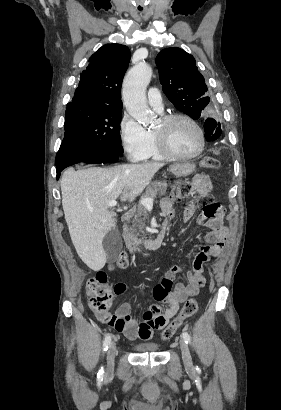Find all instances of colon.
Here are the masks:
<instances>
[{
    "label": "colon",
    "mask_w": 281,
    "mask_h": 410,
    "mask_svg": "<svg viewBox=\"0 0 281 410\" xmlns=\"http://www.w3.org/2000/svg\"><path fill=\"white\" fill-rule=\"evenodd\" d=\"M201 167L206 170H216L218 162L212 157H205L201 160ZM193 192V187L188 184H182L178 189V195H189ZM199 203L204 209V213L208 217H218L223 215V207L214 200L210 194L199 196ZM116 264L120 268H125L128 265V257L125 252L118 255ZM116 292V286L109 283L108 277L104 272H98L96 275L88 279L86 283V294L89 300L90 309L100 315L104 321H107L115 329L124 326L123 319L107 314L111 304L113 294ZM198 308V303L195 299H189L181 309L176 318L172 320L169 326L162 332V339L168 340L176 334L183 326L184 322L192 317Z\"/></svg>",
    "instance_id": "1"
}]
</instances>
